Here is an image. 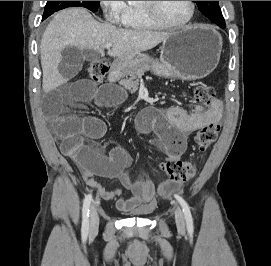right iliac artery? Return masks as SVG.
<instances>
[{
	"label": "right iliac artery",
	"mask_w": 271,
	"mask_h": 266,
	"mask_svg": "<svg viewBox=\"0 0 271 266\" xmlns=\"http://www.w3.org/2000/svg\"><path fill=\"white\" fill-rule=\"evenodd\" d=\"M92 201V195L88 194L83 202V209H82V239L86 240L89 230V207Z\"/></svg>",
	"instance_id": "obj_1"
}]
</instances>
